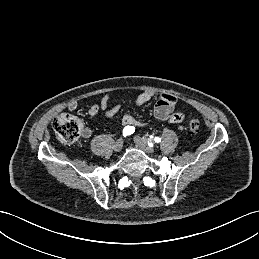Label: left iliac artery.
<instances>
[{
    "mask_svg": "<svg viewBox=\"0 0 259 259\" xmlns=\"http://www.w3.org/2000/svg\"><path fill=\"white\" fill-rule=\"evenodd\" d=\"M150 138H153V136H150ZM153 140H154L156 143L161 142V139H160L159 137H154ZM148 145H149L150 147L153 146V143H152L151 139H150V141L148 142Z\"/></svg>",
    "mask_w": 259,
    "mask_h": 259,
    "instance_id": "obj_1",
    "label": "left iliac artery"
}]
</instances>
